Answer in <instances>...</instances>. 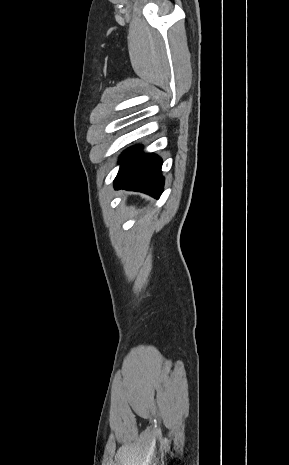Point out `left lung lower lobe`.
<instances>
[{
    "mask_svg": "<svg viewBox=\"0 0 289 465\" xmlns=\"http://www.w3.org/2000/svg\"><path fill=\"white\" fill-rule=\"evenodd\" d=\"M141 150V146H133L123 152L114 180L115 189L140 191L159 198L164 185L162 160L155 154H143Z\"/></svg>",
    "mask_w": 289,
    "mask_h": 465,
    "instance_id": "obj_1",
    "label": "left lung lower lobe"
}]
</instances>
